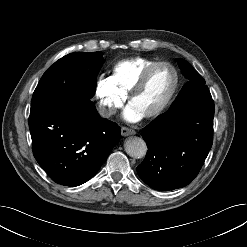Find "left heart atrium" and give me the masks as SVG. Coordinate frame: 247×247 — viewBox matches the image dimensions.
I'll list each match as a JSON object with an SVG mask.
<instances>
[{"instance_id":"left-heart-atrium-1","label":"left heart atrium","mask_w":247,"mask_h":247,"mask_svg":"<svg viewBox=\"0 0 247 247\" xmlns=\"http://www.w3.org/2000/svg\"><path fill=\"white\" fill-rule=\"evenodd\" d=\"M124 118L129 122H138L143 118V116L129 105L124 112Z\"/></svg>"}]
</instances>
